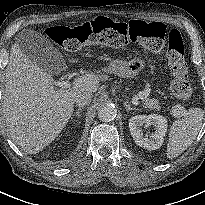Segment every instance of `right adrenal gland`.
I'll list each match as a JSON object with an SVG mask.
<instances>
[{
	"instance_id": "right-adrenal-gland-1",
	"label": "right adrenal gland",
	"mask_w": 205,
	"mask_h": 205,
	"mask_svg": "<svg viewBox=\"0 0 205 205\" xmlns=\"http://www.w3.org/2000/svg\"><path fill=\"white\" fill-rule=\"evenodd\" d=\"M84 109V106H80L76 112L73 114V116H76L77 118H79L81 116L80 112ZM72 119V118H71Z\"/></svg>"
}]
</instances>
